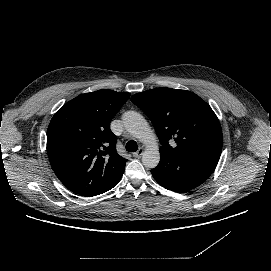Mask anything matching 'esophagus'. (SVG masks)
Segmentation results:
<instances>
[{
  "mask_svg": "<svg viewBox=\"0 0 271 271\" xmlns=\"http://www.w3.org/2000/svg\"><path fill=\"white\" fill-rule=\"evenodd\" d=\"M144 152V148L140 147L136 152L133 153L135 158H141Z\"/></svg>",
  "mask_w": 271,
  "mask_h": 271,
  "instance_id": "esophagus-1",
  "label": "esophagus"
}]
</instances>
